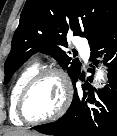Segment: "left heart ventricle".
<instances>
[{"mask_svg":"<svg viewBox=\"0 0 117 136\" xmlns=\"http://www.w3.org/2000/svg\"><path fill=\"white\" fill-rule=\"evenodd\" d=\"M62 86L58 77L41 79L27 95L24 112L30 119H40L52 115L62 101Z\"/></svg>","mask_w":117,"mask_h":136,"instance_id":"left-heart-ventricle-1","label":"left heart ventricle"}]
</instances>
